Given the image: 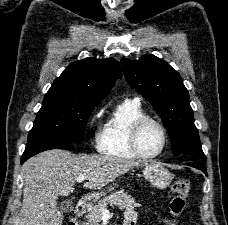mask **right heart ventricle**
Here are the masks:
<instances>
[{"instance_id":"right-heart-ventricle-1","label":"right heart ventricle","mask_w":228,"mask_h":225,"mask_svg":"<svg viewBox=\"0 0 228 225\" xmlns=\"http://www.w3.org/2000/svg\"><path fill=\"white\" fill-rule=\"evenodd\" d=\"M146 116L141 103L131 99L120 102L97 138L98 151L115 158H139L131 145V132L134 123Z\"/></svg>"}]
</instances>
